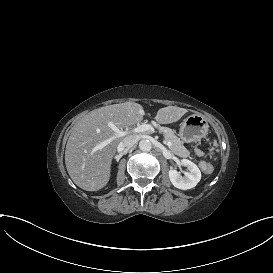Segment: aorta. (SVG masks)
Here are the masks:
<instances>
[{
    "mask_svg": "<svg viewBox=\"0 0 273 273\" xmlns=\"http://www.w3.org/2000/svg\"><path fill=\"white\" fill-rule=\"evenodd\" d=\"M139 148L144 152H148L152 149V143L149 140L142 139L139 142Z\"/></svg>",
    "mask_w": 273,
    "mask_h": 273,
    "instance_id": "aorta-1",
    "label": "aorta"
}]
</instances>
